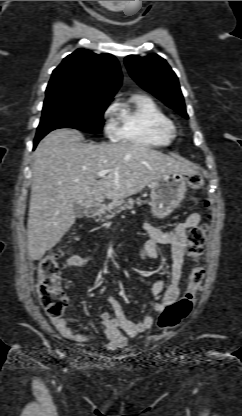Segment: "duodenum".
Returning <instances> with one entry per match:
<instances>
[{
  "label": "duodenum",
  "mask_w": 242,
  "mask_h": 416,
  "mask_svg": "<svg viewBox=\"0 0 242 416\" xmlns=\"http://www.w3.org/2000/svg\"><path fill=\"white\" fill-rule=\"evenodd\" d=\"M100 208V205H93L89 207L86 211V216L89 218L94 217L99 212Z\"/></svg>",
  "instance_id": "duodenum-1"
}]
</instances>
